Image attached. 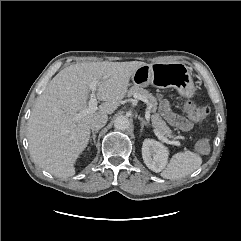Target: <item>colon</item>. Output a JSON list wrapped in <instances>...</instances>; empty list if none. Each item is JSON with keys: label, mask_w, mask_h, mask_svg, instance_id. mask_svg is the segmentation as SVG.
Returning a JSON list of instances; mask_svg holds the SVG:
<instances>
[{"label": "colon", "mask_w": 241, "mask_h": 241, "mask_svg": "<svg viewBox=\"0 0 241 241\" xmlns=\"http://www.w3.org/2000/svg\"><path fill=\"white\" fill-rule=\"evenodd\" d=\"M183 107L188 117L194 121L203 120L209 114L208 107H197L191 102H186ZM196 149L201 154H207L210 150V144L206 139H201L197 143Z\"/></svg>", "instance_id": "5ec220e1"}]
</instances>
